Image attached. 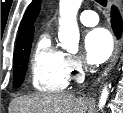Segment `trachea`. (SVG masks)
<instances>
[{"label": "trachea", "instance_id": "trachea-1", "mask_svg": "<svg viewBox=\"0 0 123 113\" xmlns=\"http://www.w3.org/2000/svg\"><path fill=\"white\" fill-rule=\"evenodd\" d=\"M95 1L103 7L107 5V0H95Z\"/></svg>", "mask_w": 123, "mask_h": 113}]
</instances>
